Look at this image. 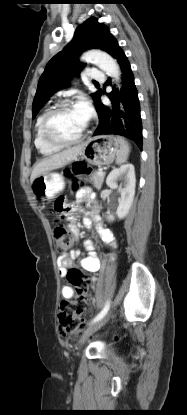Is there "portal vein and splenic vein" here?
<instances>
[{
	"label": "portal vein and splenic vein",
	"mask_w": 187,
	"mask_h": 415,
	"mask_svg": "<svg viewBox=\"0 0 187 415\" xmlns=\"http://www.w3.org/2000/svg\"><path fill=\"white\" fill-rule=\"evenodd\" d=\"M98 174H99V175H102V174H103V171H102V170H100V171L98 172Z\"/></svg>",
	"instance_id": "1"
}]
</instances>
